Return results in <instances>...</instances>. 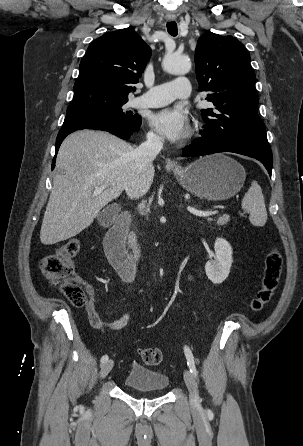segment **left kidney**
Returning a JSON list of instances; mask_svg holds the SVG:
<instances>
[{
    "mask_svg": "<svg viewBox=\"0 0 303 446\" xmlns=\"http://www.w3.org/2000/svg\"><path fill=\"white\" fill-rule=\"evenodd\" d=\"M214 259L205 265V272L210 281L215 284L222 283L229 275L233 262L231 245L223 238H217L214 244Z\"/></svg>",
    "mask_w": 303,
    "mask_h": 446,
    "instance_id": "obj_1",
    "label": "left kidney"
}]
</instances>
